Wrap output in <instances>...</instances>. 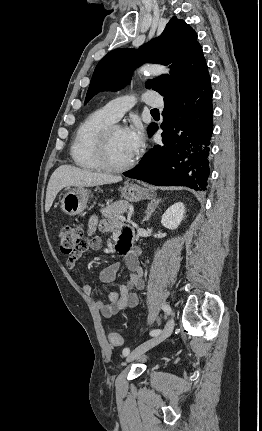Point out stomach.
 <instances>
[{
  "label": "stomach",
  "mask_w": 262,
  "mask_h": 431,
  "mask_svg": "<svg viewBox=\"0 0 262 431\" xmlns=\"http://www.w3.org/2000/svg\"><path fill=\"white\" fill-rule=\"evenodd\" d=\"M90 194L91 190L84 187L69 190L61 200L62 210L70 216L80 214L86 208ZM121 195L129 202H138L153 196L148 188L133 183H126L121 188Z\"/></svg>",
  "instance_id": "0dacf381"
}]
</instances>
